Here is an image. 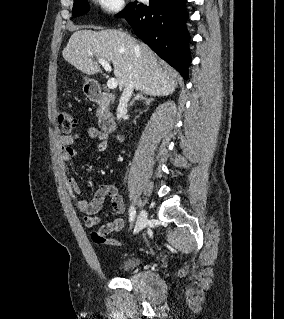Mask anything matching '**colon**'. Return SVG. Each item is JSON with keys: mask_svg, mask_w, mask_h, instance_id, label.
<instances>
[{"mask_svg": "<svg viewBox=\"0 0 284 319\" xmlns=\"http://www.w3.org/2000/svg\"><path fill=\"white\" fill-rule=\"evenodd\" d=\"M57 118H58V123L61 127V130L64 133H70L73 131L77 125V120L76 117L72 112L67 110L65 107H60L57 111ZM92 240L95 243L99 244H108V245H119V241L113 238H106L101 236L98 232H93L92 235Z\"/></svg>", "mask_w": 284, "mask_h": 319, "instance_id": "obj_1", "label": "colon"}]
</instances>
